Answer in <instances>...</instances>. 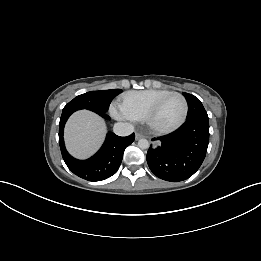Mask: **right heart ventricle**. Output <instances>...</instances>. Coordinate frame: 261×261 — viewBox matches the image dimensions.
I'll use <instances>...</instances> for the list:
<instances>
[{
    "instance_id": "e07e8e85",
    "label": "right heart ventricle",
    "mask_w": 261,
    "mask_h": 261,
    "mask_svg": "<svg viewBox=\"0 0 261 261\" xmlns=\"http://www.w3.org/2000/svg\"><path fill=\"white\" fill-rule=\"evenodd\" d=\"M169 92L166 89L129 91L121 96L119 108L128 119L141 121L153 103Z\"/></svg>"
}]
</instances>
